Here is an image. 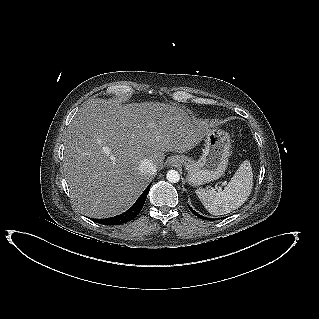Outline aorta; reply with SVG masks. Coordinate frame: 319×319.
<instances>
[{"label":"aorta","mask_w":319,"mask_h":319,"mask_svg":"<svg viewBox=\"0 0 319 319\" xmlns=\"http://www.w3.org/2000/svg\"><path fill=\"white\" fill-rule=\"evenodd\" d=\"M166 178L170 183H177L180 180V174L176 170H169L166 174Z\"/></svg>","instance_id":"aorta-1"}]
</instances>
